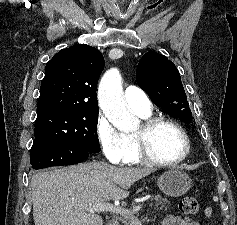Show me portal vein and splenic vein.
I'll list each match as a JSON object with an SVG mask.
<instances>
[{
    "instance_id": "portal-vein-and-splenic-vein-1",
    "label": "portal vein and splenic vein",
    "mask_w": 237,
    "mask_h": 225,
    "mask_svg": "<svg viewBox=\"0 0 237 225\" xmlns=\"http://www.w3.org/2000/svg\"><path fill=\"white\" fill-rule=\"evenodd\" d=\"M141 208H142V205L136 206L133 208V211L136 213ZM89 210H93L97 212H111V213H116L120 215H130L128 210L119 206L109 204V203H97L94 205H90Z\"/></svg>"
}]
</instances>
